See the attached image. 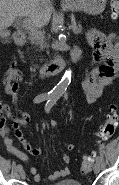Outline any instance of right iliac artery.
Wrapping results in <instances>:
<instances>
[{
  "instance_id": "obj_1",
  "label": "right iliac artery",
  "mask_w": 119,
  "mask_h": 185,
  "mask_svg": "<svg viewBox=\"0 0 119 185\" xmlns=\"http://www.w3.org/2000/svg\"><path fill=\"white\" fill-rule=\"evenodd\" d=\"M59 95L57 94V93H52V92H48V93H45V94H40V95H38V96H36L35 98H34V103H41V102H43V101H45V100H49V99H52V98H56V97H58ZM16 169L18 170V171H20L21 169H22V165L21 164H18L17 166H16Z\"/></svg>"
}]
</instances>
